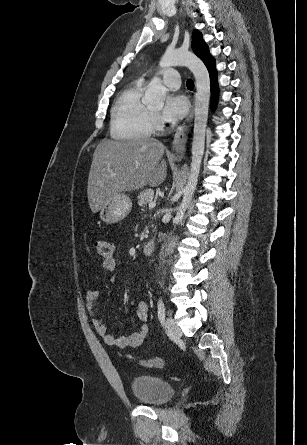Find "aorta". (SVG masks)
Returning a JSON list of instances; mask_svg holds the SVG:
<instances>
[{"instance_id":"aorta-1","label":"aorta","mask_w":307,"mask_h":445,"mask_svg":"<svg viewBox=\"0 0 307 445\" xmlns=\"http://www.w3.org/2000/svg\"><path fill=\"white\" fill-rule=\"evenodd\" d=\"M159 66H161V68H167V66H188L191 72H193L196 80L191 168L186 186H184L183 198L179 206H177L176 216L173 218L175 229L176 225L181 223L198 182L199 170L205 146V132L210 98V78L204 62H202L196 54L190 52V50H182V48H172V46H167L163 56H161ZM167 90L168 88L163 86L161 78H159V76H153L145 90V96L142 98L143 104H147V106H164ZM166 247L167 243H164L160 253L161 259H163L165 255L164 251H166Z\"/></svg>"}]
</instances>
